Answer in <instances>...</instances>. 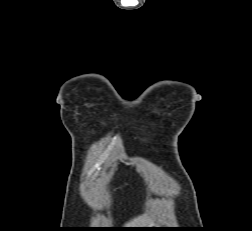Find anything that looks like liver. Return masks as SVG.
I'll use <instances>...</instances> for the list:
<instances>
[{"instance_id": "1", "label": "liver", "mask_w": 252, "mask_h": 231, "mask_svg": "<svg viewBox=\"0 0 252 231\" xmlns=\"http://www.w3.org/2000/svg\"><path fill=\"white\" fill-rule=\"evenodd\" d=\"M152 224V220L148 216H139L128 222L125 226L128 228H144Z\"/></svg>"}]
</instances>
